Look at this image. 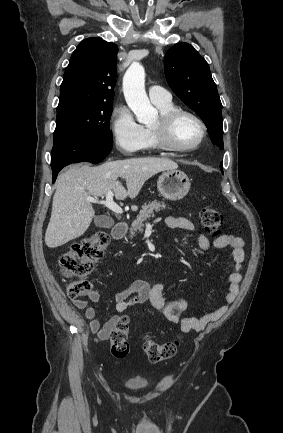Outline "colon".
<instances>
[{
  "mask_svg": "<svg viewBox=\"0 0 283 433\" xmlns=\"http://www.w3.org/2000/svg\"><path fill=\"white\" fill-rule=\"evenodd\" d=\"M203 228L217 236L221 233L223 216L212 205H204L200 210ZM109 237L105 232H96L82 241L73 244L59 259V267L66 277L78 278L67 286L71 299H80L89 294L92 284L83 279L93 270L94 264L104 255ZM129 319L121 316L120 321L110 335L111 353L116 358H124L129 353ZM143 349L151 362H160L171 358L179 347V340L157 343L149 336L144 337Z\"/></svg>",
  "mask_w": 283,
  "mask_h": 433,
  "instance_id": "colon-1",
  "label": "colon"
}]
</instances>
